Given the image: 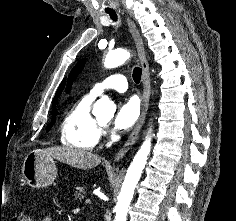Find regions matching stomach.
<instances>
[{"label": "stomach", "instance_id": "0dacf381", "mask_svg": "<svg viewBox=\"0 0 236 221\" xmlns=\"http://www.w3.org/2000/svg\"><path fill=\"white\" fill-rule=\"evenodd\" d=\"M22 176L33 188H44L51 185L57 177L53 157L43 150H34L27 154L22 166Z\"/></svg>", "mask_w": 236, "mask_h": 221}]
</instances>
